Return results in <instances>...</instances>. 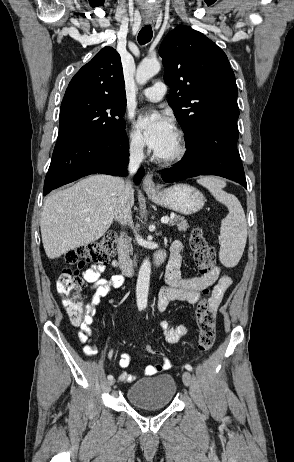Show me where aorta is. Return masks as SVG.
Listing matches in <instances>:
<instances>
[{
	"label": "aorta",
	"mask_w": 294,
	"mask_h": 462,
	"mask_svg": "<svg viewBox=\"0 0 294 462\" xmlns=\"http://www.w3.org/2000/svg\"><path fill=\"white\" fill-rule=\"evenodd\" d=\"M161 69L157 59H144L136 72L137 83L143 85L156 75ZM151 274V264L148 258L144 259L138 273L136 284V303L139 308H145L148 302V292Z\"/></svg>",
	"instance_id": "aorta-1"
}]
</instances>
